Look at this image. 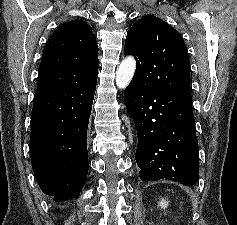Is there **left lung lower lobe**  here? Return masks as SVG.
Here are the masks:
<instances>
[{
	"mask_svg": "<svg viewBox=\"0 0 237 225\" xmlns=\"http://www.w3.org/2000/svg\"><path fill=\"white\" fill-rule=\"evenodd\" d=\"M124 96L138 133L136 161L141 180L194 185L199 177V150L191 95L146 90L131 81Z\"/></svg>",
	"mask_w": 237,
	"mask_h": 225,
	"instance_id": "obj_1",
	"label": "left lung lower lobe"
}]
</instances>
